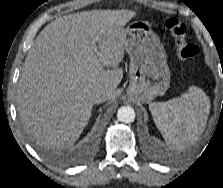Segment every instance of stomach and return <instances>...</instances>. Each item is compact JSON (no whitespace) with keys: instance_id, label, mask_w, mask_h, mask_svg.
Masks as SVG:
<instances>
[{"instance_id":"1","label":"stomach","mask_w":223,"mask_h":188,"mask_svg":"<svg viewBox=\"0 0 223 188\" xmlns=\"http://www.w3.org/2000/svg\"><path fill=\"white\" fill-rule=\"evenodd\" d=\"M124 46L130 57L127 95L150 102L169 88L170 71L163 46L150 25L134 21L124 29Z\"/></svg>"}]
</instances>
